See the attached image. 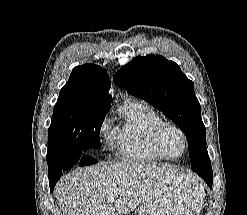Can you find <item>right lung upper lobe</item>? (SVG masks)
Listing matches in <instances>:
<instances>
[{
	"label": "right lung upper lobe",
	"mask_w": 247,
	"mask_h": 215,
	"mask_svg": "<svg viewBox=\"0 0 247 215\" xmlns=\"http://www.w3.org/2000/svg\"><path fill=\"white\" fill-rule=\"evenodd\" d=\"M110 87V78L102 67L84 64L72 70L60 92H72L85 102L109 108L112 102V96L108 94Z\"/></svg>",
	"instance_id": "obj_1"
}]
</instances>
